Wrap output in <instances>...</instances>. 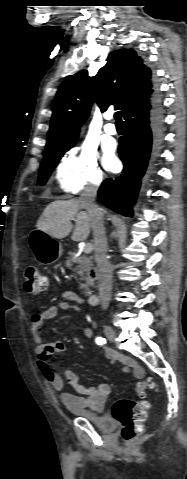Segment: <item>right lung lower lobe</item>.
<instances>
[{"label": "right lung lower lobe", "instance_id": "right-lung-lower-lobe-1", "mask_svg": "<svg viewBox=\"0 0 187 479\" xmlns=\"http://www.w3.org/2000/svg\"><path fill=\"white\" fill-rule=\"evenodd\" d=\"M163 108L158 94L149 105L137 107L125 116L127 132L119 140V156L124 164L122 175L107 178L101 185L100 201L111 210L133 215L132 206L141 180L150 170L163 134Z\"/></svg>", "mask_w": 187, "mask_h": 479}]
</instances>
